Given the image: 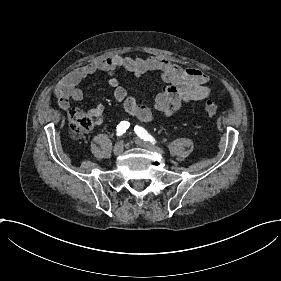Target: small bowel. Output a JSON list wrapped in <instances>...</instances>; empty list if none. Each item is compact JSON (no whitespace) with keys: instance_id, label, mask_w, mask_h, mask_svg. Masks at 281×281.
Listing matches in <instances>:
<instances>
[{"instance_id":"obj_1","label":"small bowel","mask_w":281,"mask_h":281,"mask_svg":"<svg viewBox=\"0 0 281 281\" xmlns=\"http://www.w3.org/2000/svg\"><path fill=\"white\" fill-rule=\"evenodd\" d=\"M127 71L138 78L145 73L155 72L167 84L159 93L151 97L152 103L164 118L173 116L182 102L202 101L210 96L211 91L207 87L208 77L195 67H181L164 59L149 57L146 59L114 56L101 58L75 70L65 77L60 84L53 89V94L61 109L67 110L71 102L81 101L83 92L79 83L99 71L110 74L108 84L113 89V97L122 108L137 117L139 120L149 122L151 113L146 106L139 105L137 100L127 95L126 91L119 86L117 78L113 75L117 71ZM216 94L224 91L216 89ZM105 112L103 104H97L91 111L96 119L95 125L103 127L102 120Z\"/></svg>"}]
</instances>
